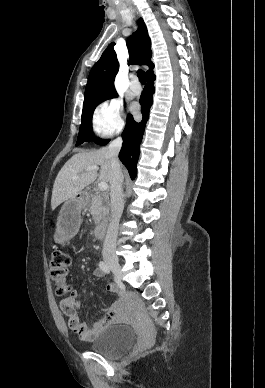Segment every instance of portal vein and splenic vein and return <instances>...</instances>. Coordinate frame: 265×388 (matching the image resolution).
<instances>
[{
    "mask_svg": "<svg viewBox=\"0 0 265 388\" xmlns=\"http://www.w3.org/2000/svg\"><path fill=\"white\" fill-rule=\"evenodd\" d=\"M86 172H93V170H99L98 166H89V168H85ZM77 176H74L73 180H76ZM99 190H108V184L107 182H100L98 184Z\"/></svg>",
    "mask_w": 265,
    "mask_h": 388,
    "instance_id": "obj_1",
    "label": "portal vein and splenic vein"
}]
</instances>
